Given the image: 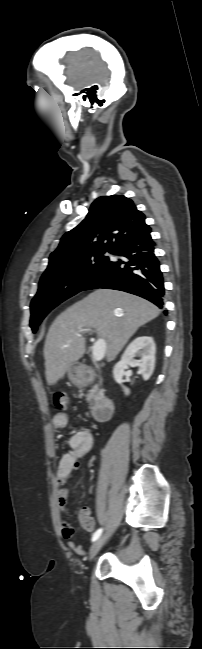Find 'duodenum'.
<instances>
[{
    "label": "duodenum",
    "instance_id": "duodenum-1",
    "mask_svg": "<svg viewBox=\"0 0 202 649\" xmlns=\"http://www.w3.org/2000/svg\"><path fill=\"white\" fill-rule=\"evenodd\" d=\"M80 377L83 379H92L94 371L90 367H82L80 370ZM114 411L113 401L108 398H102L93 406L92 414L99 421L109 420Z\"/></svg>",
    "mask_w": 202,
    "mask_h": 649
}]
</instances>
